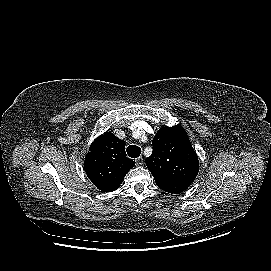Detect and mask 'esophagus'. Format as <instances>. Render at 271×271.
Wrapping results in <instances>:
<instances>
[{"instance_id": "esophagus-1", "label": "esophagus", "mask_w": 271, "mask_h": 271, "mask_svg": "<svg viewBox=\"0 0 271 271\" xmlns=\"http://www.w3.org/2000/svg\"><path fill=\"white\" fill-rule=\"evenodd\" d=\"M136 165L137 166H141L143 164V158L142 157H138L135 159Z\"/></svg>"}]
</instances>
